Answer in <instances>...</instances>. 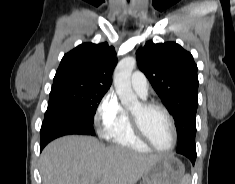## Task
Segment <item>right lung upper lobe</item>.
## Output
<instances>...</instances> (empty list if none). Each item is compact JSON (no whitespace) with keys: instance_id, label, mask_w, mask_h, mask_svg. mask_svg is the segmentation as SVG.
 I'll return each mask as SVG.
<instances>
[{"instance_id":"right-lung-upper-lobe-1","label":"right lung upper lobe","mask_w":235,"mask_h":184,"mask_svg":"<svg viewBox=\"0 0 235 184\" xmlns=\"http://www.w3.org/2000/svg\"><path fill=\"white\" fill-rule=\"evenodd\" d=\"M116 63L115 49L108 43H83L64 55L51 91L67 86H99L109 89Z\"/></svg>"}]
</instances>
